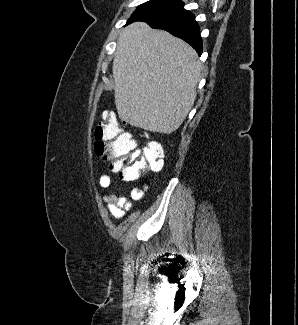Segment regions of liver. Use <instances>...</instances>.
Wrapping results in <instances>:
<instances>
[{"label":"liver","instance_id":"liver-1","mask_svg":"<svg viewBox=\"0 0 298 325\" xmlns=\"http://www.w3.org/2000/svg\"><path fill=\"white\" fill-rule=\"evenodd\" d=\"M112 64L120 120L164 134L181 126L202 70L190 44L146 22H132L118 38Z\"/></svg>","mask_w":298,"mask_h":325}]
</instances>
